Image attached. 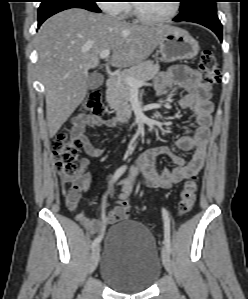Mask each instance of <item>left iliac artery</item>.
Instances as JSON below:
<instances>
[{
  "mask_svg": "<svg viewBox=\"0 0 248 299\" xmlns=\"http://www.w3.org/2000/svg\"><path fill=\"white\" fill-rule=\"evenodd\" d=\"M162 216L164 219V243L168 250L171 252V242H170V221L168 217V212L163 208L162 209Z\"/></svg>",
  "mask_w": 248,
  "mask_h": 299,
  "instance_id": "left-iliac-artery-1",
  "label": "left iliac artery"
}]
</instances>
